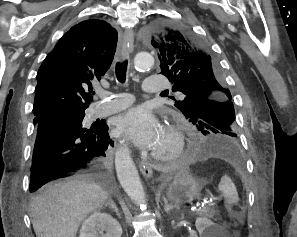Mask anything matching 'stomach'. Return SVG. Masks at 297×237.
<instances>
[{"instance_id":"stomach-1","label":"stomach","mask_w":297,"mask_h":237,"mask_svg":"<svg viewBox=\"0 0 297 237\" xmlns=\"http://www.w3.org/2000/svg\"><path fill=\"white\" fill-rule=\"evenodd\" d=\"M203 184L198 181L188 170H182L168 185L167 199L178 207L199 198Z\"/></svg>"}]
</instances>
